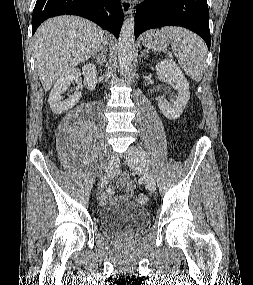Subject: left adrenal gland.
I'll return each instance as SVG.
<instances>
[{
    "mask_svg": "<svg viewBox=\"0 0 253 285\" xmlns=\"http://www.w3.org/2000/svg\"><path fill=\"white\" fill-rule=\"evenodd\" d=\"M147 53H148L147 50H143V52L141 53V57H142V56H145Z\"/></svg>",
    "mask_w": 253,
    "mask_h": 285,
    "instance_id": "left-adrenal-gland-1",
    "label": "left adrenal gland"
}]
</instances>
